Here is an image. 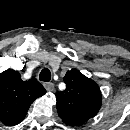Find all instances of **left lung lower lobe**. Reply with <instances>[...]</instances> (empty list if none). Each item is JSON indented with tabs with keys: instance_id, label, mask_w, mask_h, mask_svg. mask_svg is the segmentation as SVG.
Returning <instances> with one entry per match:
<instances>
[{
	"instance_id": "0a47b994",
	"label": "left lung lower lobe",
	"mask_w": 130,
	"mask_h": 130,
	"mask_svg": "<svg viewBox=\"0 0 130 130\" xmlns=\"http://www.w3.org/2000/svg\"><path fill=\"white\" fill-rule=\"evenodd\" d=\"M66 124H68V125H70V126H77V125H79V124H77V123H66Z\"/></svg>"
}]
</instances>
